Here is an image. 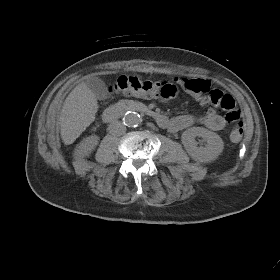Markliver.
Masks as SVG:
<instances>
[{
	"instance_id": "6515ba94",
	"label": "liver",
	"mask_w": 280,
	"mask_h": 280,
	"mask_svg": "<svg viewBox=\"0 0 280 280\" xmlns=\"http://www.w3.org/2000/svg\"><path fill=\"white\" fill-rule=\"evenodd\" d=\"M98 102L85 82L77 85L65 99L61 110L60 126L64 144H72L95 120Z\"/></svg>"
}]
</instances>
